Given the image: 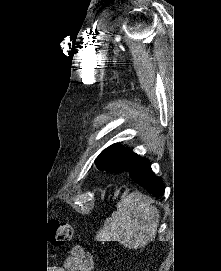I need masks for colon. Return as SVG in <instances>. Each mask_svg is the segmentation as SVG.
Returning <instances> with one entry per match:
<instances>
[{
  "label": "colon",
  "instance_id": "colon-1",
  "mask_svg": "<svg viewBox=\"0 0 221 271\" xmlns=\"http://www.w3.org/2000/svg\"><path fill=\"white\" fill-rule=\"evenodd\" d=\"M52 235L56 245L60 246L71 241L74 235V229L69 223L52 222Z\"/></svg>",
  "mask_w": 221,
  "mask_h": 271
}]
</instances>
